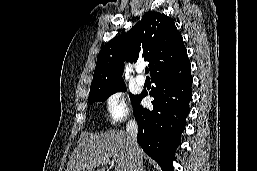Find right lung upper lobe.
<instances>
[{
  "instance_id": "right-lung-upper-lobe-1",
  "label": "right lung upper lobe",
  "mask_w": 257,
  "mask_h": 171,
  "mask_svg": "<svg viewBox=\"0 0 257 171\" xmlns=\"http://www.w3.org/2000/svg\"><path fill=\"white\" fill-rule=\"evenodd\" d=\"M187 57L181 33L172 18L147 12L126 34L119 35L100 50L90 92L124 84V61H149L150 75L179 65Z\"/></svg>"
}]
</instances>
